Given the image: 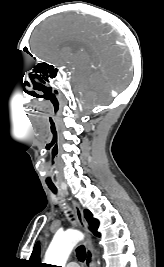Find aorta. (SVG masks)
Masks as SVG:
<instances>
[{
	"label": "aorta",
	"instance_id": "1",
	"mask_svg": "<svg viewBox=\"0 0 164 267\" xmlns=\"http://www.w3.org/2000/svg\"><path fill=\"white\" fill-rule=\"evenodd\" d=\"M82 239L83 234L77 230H69L63 234L55 235L46 251L45 262L65 267L71 251Z\"/></svg>",
	"mask_w": 164,
	"mask_h": 267
}]
</instances>
